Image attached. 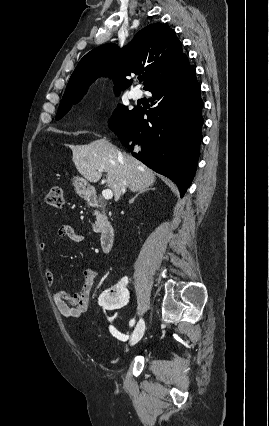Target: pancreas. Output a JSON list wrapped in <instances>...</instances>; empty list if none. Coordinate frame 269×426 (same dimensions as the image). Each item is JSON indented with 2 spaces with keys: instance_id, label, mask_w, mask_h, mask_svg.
I'll return each mask as SVG.
<instances>
[{
  "instance_id": "pancreas-1",
  "label": "pancreas",
  "mask_w": 269,
  "mask_h": 426,
  "mask_svg": "<svg viewBox=\"0 0 269 426\" xmlns=\"http://www.w3.org/2000/svg\"><path fill=\"white\" fill-rule=\"evenodd\" d=\"M103 220L104 221H107V217L105 216V215H103ZM93 230L95 231V232H97L98 230L95 228V226L93 225Z\"/></svg>"
}]
</instances>
